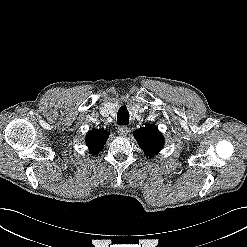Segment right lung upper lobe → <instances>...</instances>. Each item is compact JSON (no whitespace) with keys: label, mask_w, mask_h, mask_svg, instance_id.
<instances>
[{"label":"right lung upper lobe","mask_w":247,"mask_h":247,"mask_svg":"<svg viewBox=\"0 0 247 247\" xmlns=\"http://www.w3.org/2000/svg\"><path fill=\"white\" fill-rule=\"evenodd\" d=\"M109 133L105 130L96 129L88 133L86 137V144L90 152L97 155L104 147Z\"/></svg>","instance_id":"obj_1"}]
</instances>
